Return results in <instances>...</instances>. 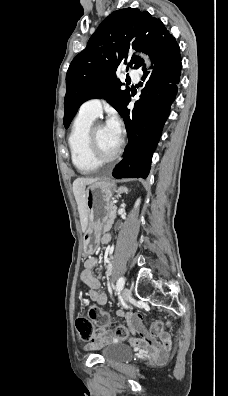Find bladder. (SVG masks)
Segmentation results:
<instances>
[{
	"label": "bladder",
	"mask_w": 228,
	"mask_h": 396,
	"mask_svg": "<svg viewBox=\"0 0 228 396\" xmlns=\"http://www.w3.org/2000/svg\"><path fill=\"white\" fill-rule=\"evenodd\" d=\"M100 352L106 361L112 363L126 362L133 357L132 349L122 343H107Z\"/></svg>",
	"instance_id": "obj_1"
}]
</instances>
